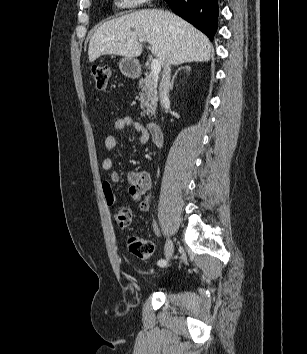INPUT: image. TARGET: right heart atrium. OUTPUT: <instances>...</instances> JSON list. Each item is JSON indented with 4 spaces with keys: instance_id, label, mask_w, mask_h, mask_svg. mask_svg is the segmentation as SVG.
<instances>
[{
    "instance_id": "obj_1",
    "label": "right heart atrium",
    "mask_w": 307,
    "mask_h": 354,
    "mask_svg": "<svg viewBox=\"0 0 307 354\" xmlns=\"http://www.w3.org/2000/svg\"><path fill=\"white\" fill-rule=\"evenodd\" d=\"M151 0H118L121 7L124 8H134L148 4Z\"/></svg>"
}]
</instances>
